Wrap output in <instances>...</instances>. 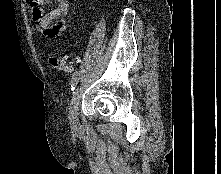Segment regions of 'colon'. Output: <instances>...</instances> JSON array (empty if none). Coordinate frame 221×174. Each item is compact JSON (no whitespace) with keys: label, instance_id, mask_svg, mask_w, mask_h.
I'll return each instance as SVG.
<instances>
[{"label":"colon","instance_id":"colon-1","mask_svg":"<svg viewBox=\"0 0 221 174\" xmlns=\"http://www.w3.org/2000/svg\"><path fill=\"white\" fill-rule=\"evenodd\" d=\"M52 67L63 72H71L73 69V61L66 55L53 54L49 57Z\"/></svg>","mask_w":221,"mask_h":174}]
</instances>
